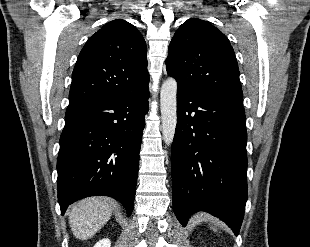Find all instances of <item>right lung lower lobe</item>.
I'll return each mask as SVG.
<instances>
[{
	"instance_id": "obj_1",
	"label": "right lung lower lobe",
	"mask_w": 310,
	"mask_h": 247,
	"mask_svg": "<svg viewBox=\"0 0 310 247\" xmlns=\"http://www.w3.org/2000/svg\"><path fill=\"white\" fill-rule=\"evenodd\" d=\"M148 86L131 94L69 104L57 159L58 202L110 196L130 216L148 112Z\"/></svg>"
}]
</instances>
